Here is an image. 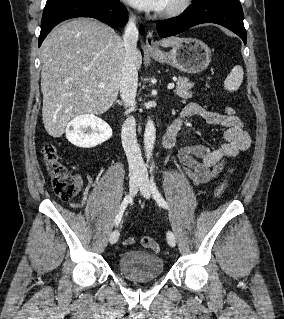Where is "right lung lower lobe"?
Masks as SVG:
<instances>
[{
  "instance_id": "obj_1",
  "label": "right lung lower lobe",
  "mask_w": 284,
  "mask_h": 319,
  "mask_svg": "<svg viewBox=\"0 0 284 319\" xmlns=\"http://www.w3.org/2000/svg\"><path fill=\"white\" fill-rule=\"evenodd\" d=\"M75 17H92L113 28L125 24L128 16L126 8L119 0H67L45 7L38 46L41 45L48 33L60 22ZM141 34L144 27H140Z\"/></svg>"
}]
</instances>
